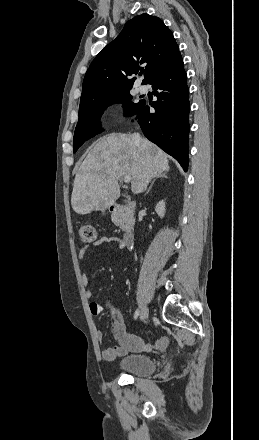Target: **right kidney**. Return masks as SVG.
<instances>
[{"mask_svg": "<svg viewBox=\"0 0 259 440\" xmlns=\"http://www.w3.org/2000/svg\"><path fill=\"white\" fill-rule=\"evenodd\" d=\"M155 211L160 218L164 217L166 209H165V202L163 200L157 203L155 207Z\"/></svg>", "mask_w": 259, "mask_h": 440, "instance_id": "obj_1", "label": "right kidney"}]
</instances>
